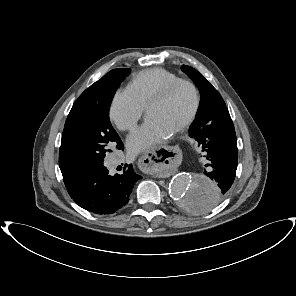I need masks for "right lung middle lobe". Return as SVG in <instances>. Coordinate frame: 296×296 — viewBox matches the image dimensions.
Returning a JSON list of instances; mask_svg holds the SVG:
<instances>
[{"mask_svg": "<svg viewBox=\"0 0 296 296\" xmlns=\"http://www.w3.org/2000/svg\"><path fill=\"white\" fill-rule=\"evenodd\" d=\"M129 69H114L85 90L74 103L64 126L59 151L63 177L103 162L123 143L109 120L113 96Z\"/></svg>", "mask_w": 296, "mask_h": 296, "instance_id": "right-lung-middle-lobe-1", "label": "right lung middle lobe"}]
</instances>
